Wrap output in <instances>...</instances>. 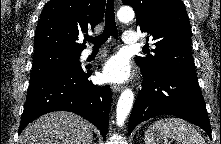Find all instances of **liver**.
Segmentation results:
<instances>
[{
	"instance_id": "6515ba94",
	"label": "liver",
	"mask_w": 221,
	"mask_h": 144,
	"mask_svg": "<svg viewBox=\"0 0 221 144\" xmlns=\"http://www.w3.org/2000/svg\"><path fill=\"white\" fill-rule=\"evenodd\" d=\"M93 126L82 117L58 111L30 123L21 133L19 144H92Z\"/></svg>"
}]
</instances>
